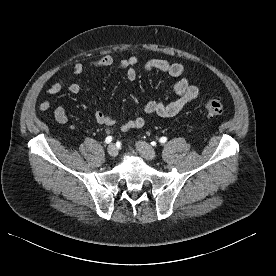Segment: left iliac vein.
Here are the masks:
<instances>
[{
  "label": "left iliac vein",
  "mask_w": 276,
  "mask_h": 276,
  "mask_svg": "<svg viewBox=\"0 0 276 276\" xmlns=\"http://www.w3.org/2000/svg\"><path fill=\"white\" fill-rule=\"evenodd\" d=\"M136 149L146 160H154L156 158L155 150L146 142H136Z\"/></svg>",
  "instance_id": "left-iliac-vein-1"
}]
</instances>
